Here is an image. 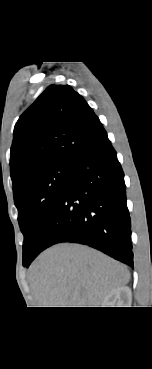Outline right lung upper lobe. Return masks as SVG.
Wrapping results in <instances>:
<instances>
[{"label":"right lung upper lobe","mask_w":152,"mask_h":369,"mask_svg":"<svg viewBox=\"0 0 152 369\" xmlns=\"http://www.w3.org/2000/svg\"><path fill=\"white\" fill-rule=\"evenodd\" d=\"M105 132L99 118L69 85H50L17 121L10 153L13 192L32 172L70 163Z\"/></svg>","instance_id":"right-lung-upper-lobe-1"}]
</instances>
